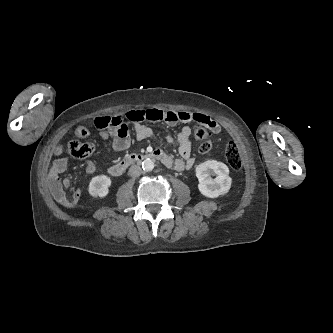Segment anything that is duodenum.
<instances>
[{
    "label": "duodenum",
    "mask_w": 333,
    "mask_h": 333,
    "mask_svg": "<svg viewBox=\"0 0 333 333\" xmlns=\"http://www.w3.org/2000/svg\"><path fill=\"white\" fill-rule=\"evenodd\" d=\"M157 160L162 163L165 162V156L160 151H153V152H147V153H132L127 156H125L120 161L112 164L109 167V172L112 175L115 176H121L126 172V170L134 165L141 162H144L146 160Z\"/></svg>",
    "instance_id": "410a0bca"
}]
</instances>
